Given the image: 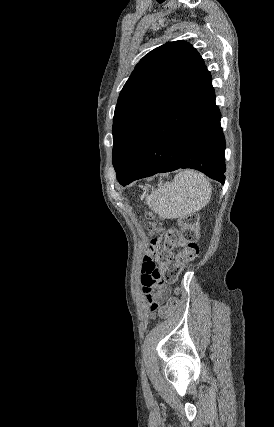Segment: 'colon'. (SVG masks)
Listing matches in <instances>:
<instances>
[{"label":"colon","mask_w":274,"mask_h":427,"mask_svg":"<svg viewBox=\"0 0 274 427\" xmlns=\"http://www.w3.org/2000/svg\"><path fill=\"white\" fill-rule=\"evenodd\" d=\"M147 223L145 228L152 235L160 233L161 248H181V254L185 255L187 263L199 255L198 246V220L196 216L183 218L173 226L161 229L160 224L154 219V214L149 212L146 214ZM172 302L180 301L179 291L171 294ZM173 311L170 305H163L162 309L152 311L153 318H172Z\"/></svg>","instance_id":"5ec220e1"}]
</instances>
